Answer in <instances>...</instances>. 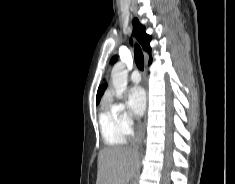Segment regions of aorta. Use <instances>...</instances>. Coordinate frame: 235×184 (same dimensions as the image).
Instances as JSON below:
<instances>
[{"instance_id": "aorta-1", "label": "aorta", "mask_w": 235, "mask_h": 184, "mask_svg": "<svg viewBox=\"0 0 235 184\" xmlns=\"http://www.w3.org/2000/svg\"><path fill=\"white\" fill-rule=\"evenodd\" d=\"M127 74L128 70H125V66L122 62H118V64H115L114 68H112L111 80L115 88L116 98H119V100L123 98V94H126Z\"/></svg>"}]
</instances>
